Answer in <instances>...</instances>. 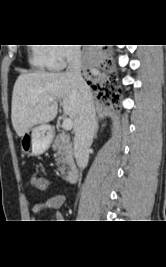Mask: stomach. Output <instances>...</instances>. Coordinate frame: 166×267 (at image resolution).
<instances>
[{
  "label": "stomach",
  "mask_w": 166,
  "mask_h": 267,
  "mask_svg": "<svg viewBox=\"0 0 166 267\" xmlns=\"http://www.w3.org/2000/svg\"><path fill=\"white\" fill-rule=\"evenodd\" d=\"M53 136L50 125H39L21 136V149L25 154L39 156L49 149Z\"/></svg>",
  "instance_id": "stomach-1"
}]
</instances>
